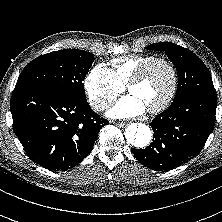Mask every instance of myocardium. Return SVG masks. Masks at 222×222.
I'll use <instances>...</instances> for the list:
<instances>
[{
  "label": "myocardium",
  "instance_id": "myocardium-1",
  "mask_svg": "<svg viewBox=\"0 0 222 222\" xmlns=\"http://www.w3.org/2000/svg\"><path fill=\"white\" fill-rule=\"evenodd\" d=\"M155 64L165 65L171 73L172 81H171L170 90L168 94L166 95V97L163 99V101L159 103L157 106L147 109V112L151 114H156L166 109L176 95L177 88H178V72L174 63L166 58H161V57L153 58L147 61L146 63H144L143 65H141L126 83V89L129 91V88L132 85L137 84L142 81V79L144 78L146 73L149 71V69Z\"/></svg>",
  "mask_w": 222,
  "mask_h": 222
}]
</instances>
